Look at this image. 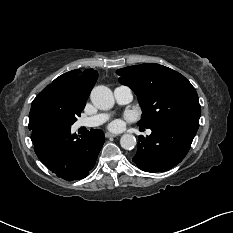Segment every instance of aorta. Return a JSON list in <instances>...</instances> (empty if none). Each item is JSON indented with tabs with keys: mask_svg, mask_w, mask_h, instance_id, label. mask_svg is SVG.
Returning a JSON list of instances; mask_svg holds the SVG:
<instances>
[{
	"mask_svg": "<svg viewBox=\"0 0 233 233\" xmlns=\"http://www.w3.org/2000/svg\"><path fill=\"white\" fill-rule=\"evenodd\" d=\"M90 99L93 105L100 110L111 109L114 105L112 91L103 85L96 86L92 89ZM136 144V138L132 134H124L120 139V145L125 150L133 149Z\"/></svg>",
	"mask_w": 233,
	"mask_h": 233,
	"instance_id": "1",
	"label": "aorta"
}]
</instances>
